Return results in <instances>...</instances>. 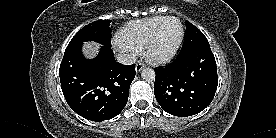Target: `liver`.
Returning a JSON list of instances; mask_svg holds the SVG:
<instances>
[{"instance_id":"liver-1","label":"liver","mask_w":276,"mask_h":138,"mask_svg":"<svg viewBox=\"0 0 276 138\" xmlns=\"http://www.w3.org/2000/svg\"><path fill=\"white\" fill-rule=\"evenodd\" d=\"M98 49V44L94 42H87L83 46V52L86 57L92 58L95 56Z\"/></svg>"}]
</instances>
